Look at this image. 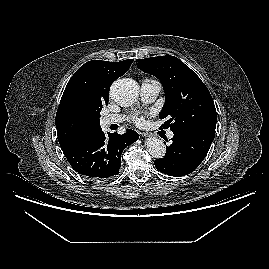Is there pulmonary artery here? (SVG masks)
Masks as SVG:
<instances>
[{
  "label": "pulmonary artery",
  "mask_w": 269,
  "mask_h": 269,
  "mask_svg": "<svg viewBox=\"0 0 269 269\" xmlns=\"http://www.w3.org/2000/svg\"><path fill=\"white\" fill-rule=\"evenodd\" d=\"M161 89V85L157 80L154 79H144L141 84V99L144 103L153 102ZM123 120L121 115H107L102 118V123L104 126H109L114 123H119ZM173 132L168 133V137H173Z\"/></svg>",
  "instance_id": "e3ab8cb5"
}]
</instances>
